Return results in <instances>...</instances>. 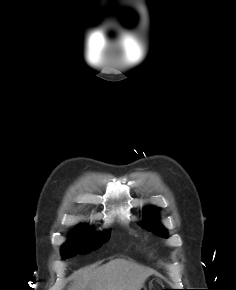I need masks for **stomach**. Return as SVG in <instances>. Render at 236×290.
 <instances>
[{
    "label": "stomach",
    "mask_w": 236,
    "mask_h": 290,
    "mask_svg": "<svg viewBox=\"0 0 236 290\" xmlns=\"http://www.w3.org/2000/svg\"><path fill=\"white\" fill-rule=\"evenodd\" d=\"M140 290H146V288L143 286L142 288H140Z\"/></svg>",
    "instance_id": "obj_1"
}]
</instances>
